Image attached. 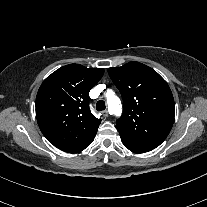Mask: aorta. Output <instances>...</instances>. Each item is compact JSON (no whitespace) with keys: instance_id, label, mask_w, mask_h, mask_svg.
<instances>
[{"instance_id":"obj_1","label":"aorta","mask_w":207,"mask_h":207,"mask_svg":"<svg viewBox=\"0 0 207 207\" xmlns=\"http://www.w3.org/2000/svg\"><path fill=\"white\" fill-rule=\"evenodd\" d=\"M106 97L109 111L116 116H120L122 113L120 99L114 94L113 91H108Z\"/></svg>"}]
</instances>
